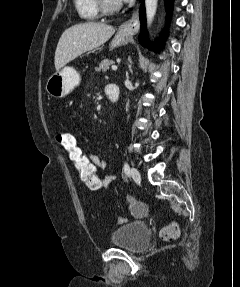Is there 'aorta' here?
Returning <instances> with one entry per match:
<instances>
[{
    "mask_svg": "<svg viewBox=\"0 0 240 287\" xmlns=\"http://www.w3.org/2000/svg\"><path fill=\"white\" fill-rule=\"evenodd\" d=\"M157 3H158V0H145L148 28L151 26V24L154 20L156 10H157Z\"/></svg>",
    "mask_w": 240,
    "mask_h": 287,
    "instance_id": "762f6f07",
    "label": "aorta"
}]
</instances>
